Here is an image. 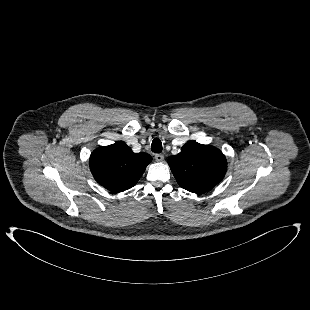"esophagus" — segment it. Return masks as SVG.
Instances as JSON below:
<instances>
[{
    "label": "esophagus",
    "instance_id": "34e87169",
    "mask_svg": "<svg viewBox=\"0 0 310 310\" xmlns=\"http://www.w3.org/2000/svg\"><path fill=\"white\" fill-rule=\"evenodd\" d=\"M155 160L157 162H162L164 160V156L162 154H155Z\"/></svg>",
    "mask_w": 310,
    "mask_h": 310
}]
</instances>
